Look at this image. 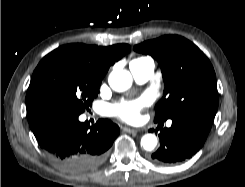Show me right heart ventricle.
<instances>
[{
    "mask_svg": "<svg viewBox=\"0 0 245 187\" xmlns=\"http://www.w3.org/2000/svg\"><path fill=\"white\" fill-rule=\"evenodd\" d=\"M147 57H139V58H136V59H134L131 63H136V62H140L141 60H144V59H146ZM130 63V64H131Z\"/></svg>",
    "mask_w": 245,
    "mask_h": 187,
    "instance_id": "1",
    "label": "right heart ventricle"
}]
</instances>
